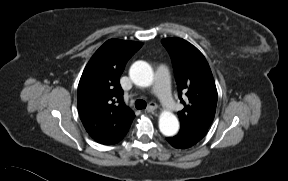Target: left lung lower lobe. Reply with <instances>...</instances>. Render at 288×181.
<instances>
[{"mask_svg":"<svg viewBox=\"0 0 288 181\" xmlns=\"http://www.w3.org/2000/svg\"><path fill=\"white\" fill-rule=\"evenodd\" d=\"M207 130L182 128L174 137L166 138L167 141L175 148H189L200 141L206 134Z\"/></svg>","mask_w":288,"mask_h":181,"instance_id":"obj_1","label":"left lung lower lobe"}]
</instances>
